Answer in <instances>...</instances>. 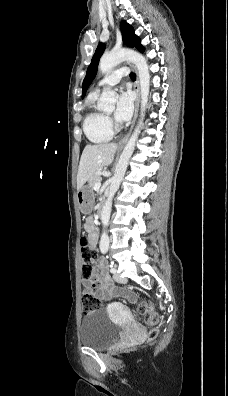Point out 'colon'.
<instances>
[{"instance_id": "obj_1", "label": "colon", "mask_w": 228, "mask_h": 396, "mask_svg": "<svg viewBox=\"0 0 228 396\" xmlns=\"http://www.w3.org/2000/svg\"><path fill=\"white\" fill-rule=\"evenodd\" d=\"M80 251L82 257V276L89 280L92 277V272L96 264V258L89 247L88 236L82 235L80 240ZM101 307V302L98 298L90 293H84L82 297V309L85 313H90ZM138 312L143 317L144 323L149 327L147 338L153 340L159 332L160 318L158 313L153 309L152 305L147 301H142L138 305Z\"/></svg>"}]
</instances>
